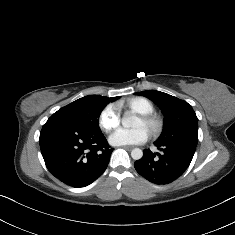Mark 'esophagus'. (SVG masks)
<instances>
[{"label":"esophagus","mask_w":235,"mask_h":235,"mask_svg":"<svg viewBox=\"0 0 235 235\" xmlns=\"http://www.w3.org/2000/svg\"><path fill=\"white\" fill-rule=\"evenodd\" d=\"M121 148L126 149V150H132L134 147L133 146H121Z\"/></svg>","instance_id":"34e87169"}]
</instances>
